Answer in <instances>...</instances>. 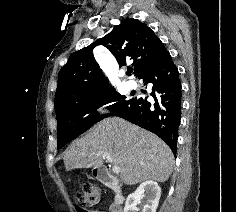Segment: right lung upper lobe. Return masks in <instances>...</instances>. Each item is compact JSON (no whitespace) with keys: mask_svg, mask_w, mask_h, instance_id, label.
I'll return each mask as SVG.
<instances>
[{"mask_svg":"<svg viewBox=\"0 0 236 212\" xmlns=\"http://www.w3.org/2000/svg\"><path fill=\"white\" fill-rule=\"evenodd\" d=\"M97 45L108 48L120 66L132 61L137 77L164 46L146 24L137 19H124L109 34L69 57L58 75L56 111L82 97L112 90L94 59L92 50Z\"/></svg>","mask_w":236,"mask_h":212,"instance_id":"cb5924a9","label":"right lung upper lobe"}]
</instances>
